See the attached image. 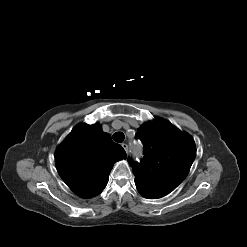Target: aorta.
Returning <instances> with one entry per match:
<instances>
[{
	"instance_id": "1",
	"label": "aorta",
	"mask_w": 247,
	"mask_h": 247,
	"mask_svg": "<svg viewBox=\"0 0 247 247\" xmlns=\"http://www.w3.org/2000/svg\"><path fill=\"white\" fill-rule=\"evenodd\" d=\"M142 150L141 145L138 143L133 144L132 151L133 153H140Z\"/></svg>"
}]
</instances>
